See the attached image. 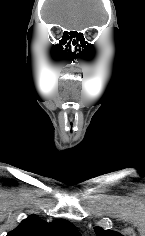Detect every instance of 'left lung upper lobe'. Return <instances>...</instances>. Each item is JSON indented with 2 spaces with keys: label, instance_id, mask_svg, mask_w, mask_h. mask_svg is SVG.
I'll return each mask as SVG.
<instances>
[{
  "label": "left lung upper lobe",
  "instance_id": "obj_1",
  "mask_svg": "<svg viewBox=\"0 0 145 236\" xmlns=\"http://www.w3.org/2000/svg\"><path fill=\"white\" fill-rule=\"evenodd\" d=\"M97 236H123L122 234L112 231V230H103L100 227H95L94 228Z\"/></svg>",
  "mask_w": 145,
  "mask_h": 236
}]
</instances>
